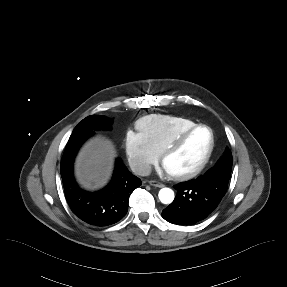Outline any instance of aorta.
<instances>
[{"label":"aorta","mask_w":287,"mask_h":287,"mask_svg":"<svg viewBox=\"0 0 287 287\" xmlns=\"http://www.w3.org/2000/svg\"><path fill=\"white\" fill-rule=\"evenodd\" d=\"M159 200L163 204H170L174 200V191L170 188H162L158 194Z\"/></svg>","instance_id":"762f6f07"}]
</instances>
